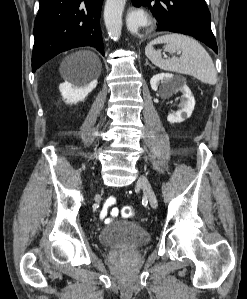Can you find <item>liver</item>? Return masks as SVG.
Returning a JSON list of instances; mask_svg holds the SVG:
<instances>
[{
    "mask_svg": "<svg viewBox=\"0 0 247 299\" xmlns=\"http://www.w3.org/2000/svg\"><path fill=\"white\" fill-rule=\"evenodd\" d=\"M78 54L88 57L90 59V61H92L93 64L97 67L98 73L100 72L101 63H100L98 56L95 53H93L91 51H81Z\"/></svg>",
    "mask_w": 247,
    "mask_h": 299,
    "instance_id": "1",
    "label": "liver"
}]
</instances>
